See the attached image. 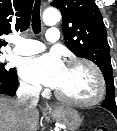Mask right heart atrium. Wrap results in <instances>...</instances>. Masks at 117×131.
Masks as SVG:
<instances>
[{
	"mask_svg": "<svg viewBox=\"0 0 117 131\" xmlns=\"http://www.w3.org/2000/svg\"><path fill=\"white\" fill-rule=\"evenodd\" d=\"M21 88L28 94H37L40 91V87L36 84L22 82Z\"/></svg>",
	"mask_w": 117,
	"mask_h": 131,
	"instance_id": "obj_1",
	"label": "right heart atrium"
}]
</instances>
